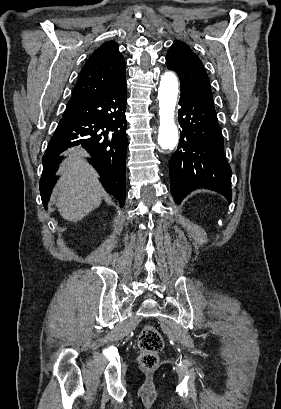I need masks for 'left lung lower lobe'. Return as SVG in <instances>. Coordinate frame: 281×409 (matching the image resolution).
<instances>
[{
  "instance_id": "0a47b994",
  "label": "left lung lower lobe",
  "mask_w": 281,
  "mask_h": 409,
  "mask_svg": "<svg viewBox=\"0 0 281 409\" xmlns=\"http://www.w3.org/2000/svg\"><path fill=\"white\" fill-rule=\"evenodd\" d=\"M178 112L182 127L176 152L169 161L171 193L180 204L197 188L224 195L231 202V168L223 153L224 141L216 111L194 94L181 89Z\"/></svg>"
}]
</instances>
